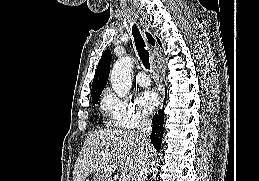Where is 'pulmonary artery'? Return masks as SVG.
<instances>
[{
	"mask_svg": "<svg viewBox=\"0 0 259 181\" xmlns=\"http://www.w3.org/2000/svg\"><path fill=\"white\" fill-rule=\"evenodd\" d=\"M136 82L142 87L150 84V78L145 71H140L136 76Z\"/></svg>",
	"mask_w": 259,
	"mask_h": 181,
	"instance_id": "pulmonary-artery-1",
	"label": "pulmonary artery"
}]
</instances>
